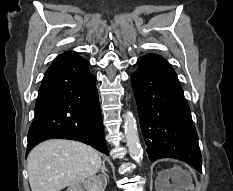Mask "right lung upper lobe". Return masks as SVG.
<instances>
[{
    "mask_svg": "<svg viewBox=\"0 0 233 191\" xmlns=\"http://www.w3.org/2000/svg\"><path fill=\"white\" fill-rule=\"evenodd\" d=\"M64 56H78V55L75 52H68V53L59 55L57 58L64 57Z\"/></svg>",
    "mask_w": 233,
    "mask_h": 191,
    "instance_id": "right-lung-upper-lobe-1",
    "label": "right lung upper lobe"
}]
</instances>
